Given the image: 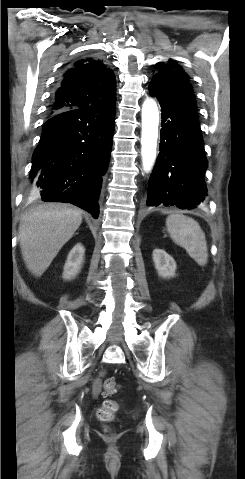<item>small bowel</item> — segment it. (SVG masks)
Instances as JSON below:
<instances>
[{
  "label": "small bowel",
  "instance_id": "obj_1",
  "mask_svg": "<svg viewBox=\"0 0 245 479\" xmlns=\"http://www.w3.org/2000/svg\"><path fill=\"white\" fill-rule=\"evenodd\" d=\"M102 376H103V374H101V376L94 381L93 394H94L95 397H98V396L103 394L102 393V385H101V377Z\"/></svg>",
  "mask_w": 245,
  "mask_h": 479
}]
</instances>
